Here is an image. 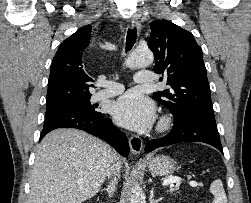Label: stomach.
I'll list each match as a JSON object with an SVG mask.
<instances>
[{
	"label": "stomach",
	"instance_id": "obj_1",
	"mask_svg": "<svg viewBox=\"0 0 251 203\" xmlns=\"http://www.w3.org/2000/svg\"><path fill=\"white\" fill-rule=\"evenodd\" d=\"M149 171L158 176L169 175L176 169V162L169 156L158 155L146 163Z\"/></svg>",
	"mask_w": 251,
	"mask_h": 203
}]
</instances>
